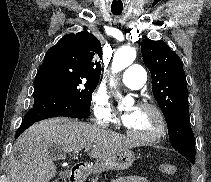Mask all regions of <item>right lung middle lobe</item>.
I'll use <instances>...</instances> for the list:
<instances>
[{"label":"right lung middle lobe","instance_id":"obj_1","mask_svg":"<svg viewBox=\"0 0 211 182\" xmlns=\"http://www.w3.org/2000/svg\"><path fill=\"white\" fill-rule=\"evenodd\" d=\"M36 77H43L46 81L71 96L82 106L90 107L92 92L99 80L84 76L78 71L70 70L59 64H50L39 67Z\"/></svg>","mask_w":211,"mask_h":182}]
</instances>
